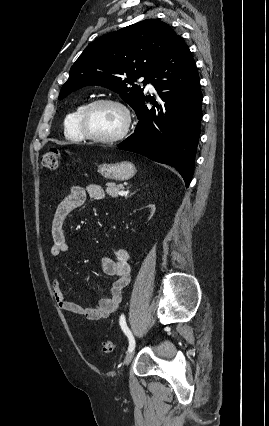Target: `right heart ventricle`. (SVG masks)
Wrapping results in <instances>:
<instances>
[{"label": "right heart ventricle", "mask_w": 269, "mask_h": 426, "mask_svg": "<svg viewBox=\"0 0 269 426\" xmlns=\"http://www.w3.org/2000/svg\"><path fill=\"white\" fill-rule=\"evenodd\" d=\"M85 105V102L78 104L65 117V135L71 140L82 141L85 139L79 124L80 115Z\"/></svg>", "instance_id": "right-heart-ventricle-1"}]
</instances>
